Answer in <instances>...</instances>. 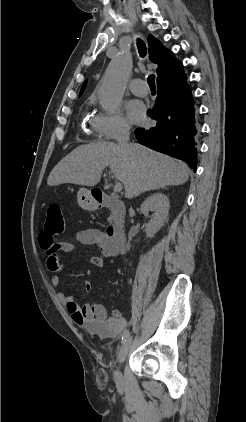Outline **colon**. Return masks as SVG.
Wrapping results in <instances>:
<instances>
[{
	"instance_id": "colon-1",
	"label": "colon",
	"mask_w": 246,
	"mask_h": 422,
	"mask_svg": "<svg viewBox=\"0 0 246 422\" xmlns=\"http://www.w3.org/2000/svg\"><path fill=\"white\" fill-rule=\"evenodd\" d=\"M45 229L53 235L64 231V217L59 203L53 202L48 206Z\"/></svg>"
}]
</instances>
